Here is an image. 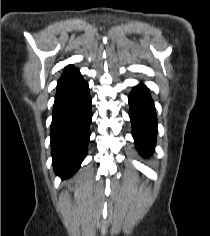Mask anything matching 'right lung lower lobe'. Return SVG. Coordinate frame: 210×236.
I'll return each mask as SVG.
<instances>
[{
  "label": "right lung lower lobe",
  "mask_w": 210,
  "mask_h": 236,
  "mask_svg": "<svg viewBox=\"0 0 210 236\" xmlns=\"http://www.w3.org/2000/svg\"><path fill=\"white\" fill-rule=\"evenodd\" d=\"M91 119L88 84L69 66L57 84L50 132L54 170L62 178L73 175L86 156Z\"/></svg>",
  "instance_id": "right-lung-lower-lobe-1"
}]
</instances>
